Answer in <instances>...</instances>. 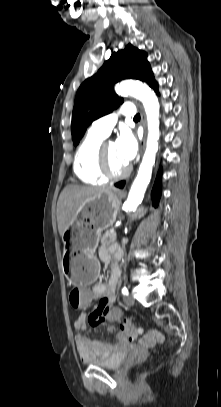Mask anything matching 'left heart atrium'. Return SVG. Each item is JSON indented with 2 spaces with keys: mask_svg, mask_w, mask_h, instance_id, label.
Here are the masks:
<instances>
[{
  "mask_svg": "<svg viewBox=\"0 0 221 407\" xmlns=\"http://www.w3.org/2000/svg\"><path fill=\"white\" fill-rule=\"evenodd\" d=\"M115 145L119 158L125 164L134 159L137 153V142L130 131L122 130Z\"/></svg>",
  "mask_w": 221,
  "mask_h": 407,
  "instance_id": "left-heart-atrium-1",
  "label": "left heart atrium"
}]
</instances>
